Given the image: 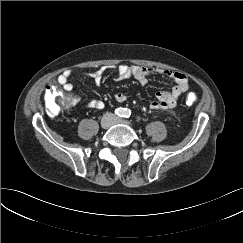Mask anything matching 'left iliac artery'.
Masks as SVG:
<instances>
[{
	"mask_svg": "<svg viewBox=\"0 0 243 243\" xmlns=\"http://www.w3.org/2000/svg\"><path fill=\"white\" fill-rule=\"evenodd\" d=\"M131 115V111L129 109H125V115L124 117L129 118Z\"/></svg>",
	"mask_w": 243,
	"mask_h": 243,
	"instance_id": "obj_1",
	"label": "left iliac artery"
}]
</instances>
